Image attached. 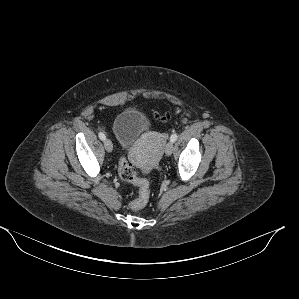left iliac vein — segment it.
Listing matches in <instances>:
<instances>
[{"instance_id": "obj_1", "label": "left iliac vein", "mask_w": 299, "mask_h": 299, "mask_svg": "<svg viewBox=\"0 0 299 299\" xmlns=\"http://www.w3.org/2000/svg\"><path fill=\"white\" fill-rule=\"evenodd\" d=\"M173 147H174V145H173V142H168L167 144H166V147H165V154L167 155V156H170L171 154H172V152H173Z\"/></svg>"}]
</instances>
